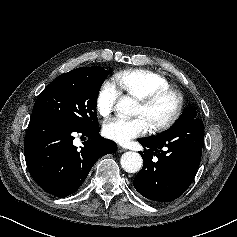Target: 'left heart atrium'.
<instances>
[{
    "mask_svg": "<svg viewBox=\"0 0 237 237\" xmlns=\"http://www.w3.org/2000/svg\"><path fill=\"white\" fill-rule=\"evenodd\" d=\"M149 125L143 117L133 119L114 118L104 124V135L117 143L126 144L130 140L147 133Z\"/></svg>",
    "mask_w": 237,
    "mask_h": 237,
    "instance_id": "left-heart-atrium-1",
    "label": "left heart atrium"
}]
</instances>
